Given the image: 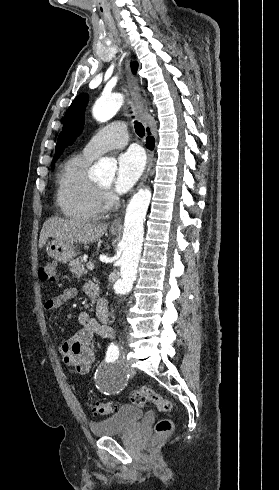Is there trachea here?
Listing matches in <instances>:
<instances>
[{
	"mask_svg": "<svg viewBox=\"0 0 279 490\" xmlns=\"http://www.w3.org/2000/svg\"><path fill=\"white\" fill-rule=\"evenodd\" d=\"M134 127H135V132L137 133V135H139V137H143L145 135L144 127L140 122L135 121Z\"/></svg>",
	"mask_w": 279,
	"mask_h": 490,
	"instance_id": "obj_1",
	"label": "trachea"
}]
</instances>
